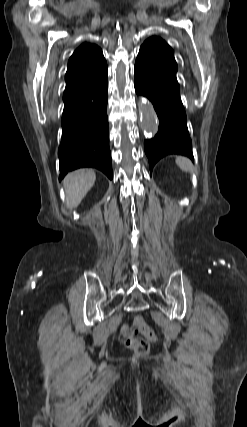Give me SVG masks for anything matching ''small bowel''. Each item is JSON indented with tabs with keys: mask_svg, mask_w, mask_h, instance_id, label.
<instances>
[{
	"mask_svg": "<svg viewBox=\"0 0 247 427\" xmlns=\"http://www.w3.org/2000/svg\"><path fill=\"white\" fill-rule=\"evenodd\" d=\"M128 334H129V332H128V326L127 325H123L122 326V328H121V330H120V335L123 337V338H125V337H127L128 336ZM129 337V336H128Z\"/></svg>",
	"mask_w": 247,
	"mask_h": 427,
	"instance_id": "c3829d8e",
	"label": "small bowel"
}]
</instances>
